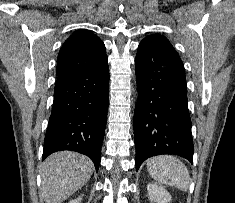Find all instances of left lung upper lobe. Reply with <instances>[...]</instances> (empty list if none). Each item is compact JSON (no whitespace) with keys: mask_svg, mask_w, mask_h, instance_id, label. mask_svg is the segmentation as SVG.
Masks as SVG:
<instances>
[{"mask_svg":"<svg viewBox=\"0 0 235 203\" xmlns=\"http://www.w3.org/2000/svg\"><path fill=\"white\" fill-rule=\"evenodd\" d=\"M143 40H161V41H164V42L170 44V42H169V40L167 38H165L164 36H160V35H150V36H147Z\"/></svg>","mask_w":235,"mask_h":203,"instance_id":"5c2ea615","label":"left lung upper lobe"}]
</instances>
